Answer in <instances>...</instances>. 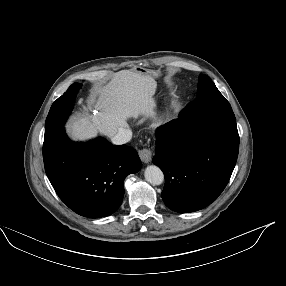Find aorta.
<instances>
[{"mask_svg": "<svg viewBox=\"0 0 286 286\" xmlns=\"http://www.w3.org/2000/svg\"><path fill=\"white\" fill-rule=\"evenodd\" d=\"M145 179L152 185H160L164 181V174L162 170L155 166H148L144 171Z\"/></svg>", "mask_w": 286, "mask_h": 286, "instance_id": "762f6f07", "label": "aorta"}]
</instances>
